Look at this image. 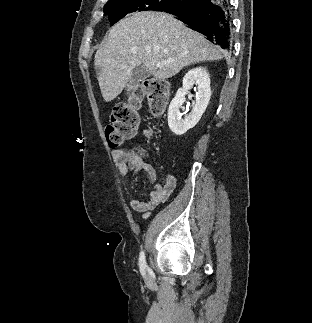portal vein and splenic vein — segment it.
<instances>
[{
    "mask_svg": "<svg viewBox=\"0 0 312 323\" xmlns=\"http://www.w3.org/2000/svg\"><path fill=\"white\" fill-rule=\"evenodd\" d=\"M170 62H174V60H169V62H158L156 68H162V66H166V64H170Z\"/></svg>",
    "mask_w": 312,
    "mask_h": 323,
    "instance_id": "1",
    "label": "portal vein and splenic vein"
}]
</instances>
